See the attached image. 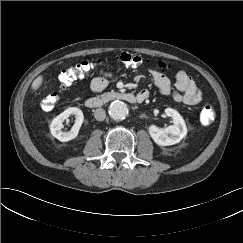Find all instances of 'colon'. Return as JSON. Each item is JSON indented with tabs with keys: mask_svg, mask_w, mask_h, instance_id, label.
Masks as SVG:
<instances>
[{
	"mask_svg": "<svg viewBox=\"0 0 243 243\" xmlns=\"http://www.w3.org/2000/svg\"><path fill=\"white\" fill-rule=\"evenodd\" d=\"M115 61L119 64L132 66V67H138L148 62L140 55L127 53V52H123L116 55ZM103 64H104V60L102 59L87 60V61H82L81 63L73 67L64 69L59 75V80L61 82L62 88L64 89L70 86L77 78H82L86 75H89L96 68L102 66ZM158 68L161 70H168L170 69V66L161 62L158 63ZM58 102H59L58 94L50 93L41 101V107L43 110L49 111L53 109ZM215 118H216V113L211 106L206 105L201 109L200 120L203 124L209 125L214 122Z\"/></svg>",
	"mask_w": 243,
	"mask_h": 243,
	"instance_id": "colon-1",
	"label": "colon"
}]
</instances>
